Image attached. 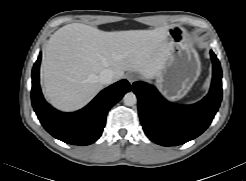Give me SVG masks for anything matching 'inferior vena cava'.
Wrapping results in <instances>:
<instances>
[{"mask_svg": "<svg viewBox=\"0 0 246 181\" xmlns=\"http://www.w3.org/2000/svg\"><path fill=\"white\" fill-rule=\"evenodd\" d=\"M114 80V73L111 69L105 68L98 75V82L101 84H110Z\"/></svg>", "mask_w": 246, "mask_h": 181, "instance_id": "602c4592", "label": "inferior vena cava"}]
</instances>
